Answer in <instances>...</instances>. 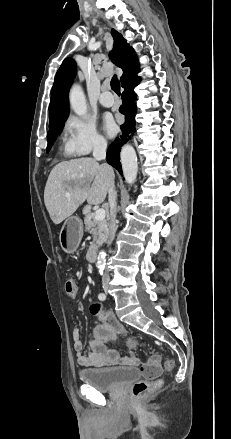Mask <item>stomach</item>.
I'll use <instances>...</instances> for the list:
<instances>
[{"label": "stomach", "instance_id": "obj_1", "mask_svg": "<svg viewBox=\"0 0 231 439\" xmlns=\"http://www.w3.org/2000/svg\"><path fill=\"white\" fill-rule=\"evenodd\" d=\"M83 236V223L77 216L69 217L65 220L60 233L59 241L61 248L66 253H74Z\"/></svg>", "mask_w": 231, "mask_h": 439}]
</instances>
